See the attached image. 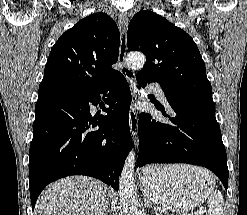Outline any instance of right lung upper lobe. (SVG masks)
<instances>
[{
    "mask_svg": "<svg viewBox=\"0 0 247 215\" xmlns=\"http://www.w3.org/2000/svg\"><path fill=\"white\" fill-rule=\"evenodd\" d=\"M119 44V29L107 14L83 18L52 47L41 84L76 91L98 87L118 72L111 66Z\"/></svg>",
    "mask_w": 247,
    "mask_h": 215,
    "instance_id": "right-lung-upper-lobe-1",
    "label": "right lung upper lobe"
}]
</instances>
